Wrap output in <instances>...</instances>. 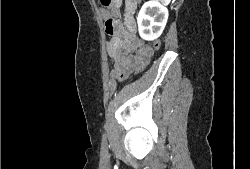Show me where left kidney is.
Returning <instances> with one entry per match:
<instances>
[{
  "instance_id": "5707ae66",
  "label": "left kidney",
  "mask_w": 250,
  "mask_h": 169,
  "mask_svg": "<svg viewBox=\"0 0 250 169\" xmlns=\"http://www.w3.org/2000/svg\"><path fill=\"white\" fill-rule=\"evenodd\" d=\"M169 12L166 6H163L159 0H148L141 6L137 24L140 36L145 40H154L162 34Z\"/></svg>"
}]
</instances>
